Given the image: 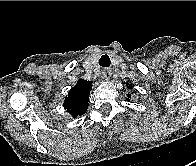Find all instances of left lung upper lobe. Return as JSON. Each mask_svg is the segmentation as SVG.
I'll list each match as a JSON object with an SVG mask.
<instances>
[{
  "mask_svg": "<svg viewBox=\"0 0 196 166\" xmlns=\"http://www.w3.org/2000/svg\"><path fill=\"white\" fill-rule=\"evenodd\" d=\"M126 84V86L130 89L131 88V85H129L128 83H125ZM131 97V95L130 94H128V98H130Z\"/></svg>",
  "mask_w": 196,
  "mask_h": 166,
  "instance_id": "1",
  "label": "left lung upper lobe"
}]
</instances>
